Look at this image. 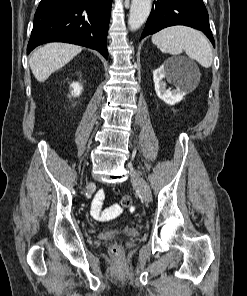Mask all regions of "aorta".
I'll return each instance as SVG.
<instances>
[{
	"mask_svg": "<svg viewBox=\"0 0 247 296\" xmlns=\"http://www.w3.org/2000/svg\"><path fill=\"white\" fill-rule=\"evenodd\" d=\"M152 0H132L128 18L131 31L139 29L147 20L151 11Z\"/></svg>",
	"mask_w": 247,
	"mask_h": 296,
	"instance_id": "aorta-1",
	"label": "aorta"
}]
</instances>
